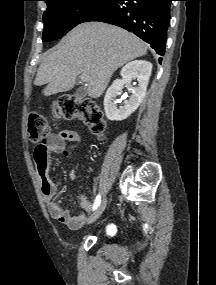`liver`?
I'll return each instance as SVG.
<instances>
[{
	"instance_id": "1",
	"label": "liver",
	"mask_w": 216,
	"mask_h": 285,
	"mask_svg": "<svg viewBox=\"0 0 216 285\" xmlns=\"http://www.w3.org/2000/svg\"><path fill=\"white\" fill-rule=\"evenodd\" d=\"M146 53V44L132 33L105 23H82L48 53L34 84H47L43 94L50 96L71 90L84 75L88 96L98 98L119 67Z\"/></svg>"
}]
</instances>
